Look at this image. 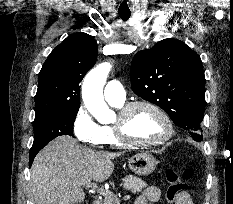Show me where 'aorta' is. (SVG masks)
<instances>
[{"instance_id": "aorta-1", "label": "aorta", "mask_w": 233, "mask_h": 204, "mask_svg": "<svg viewBox=\"0 0 233 204\" xmlns=\"http://www.w3.org/2000/svg\"><path fill=\"white\" fill-rule=\"evenodd\" d=\"M112 65L99 64L88 72L82 85V99L90 114L100 123L113 120L114 113L104 101L103 87Z\"/></svg>"}]
</instances>
